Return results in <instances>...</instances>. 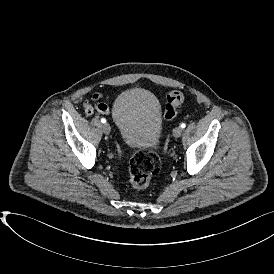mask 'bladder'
I'll use <instances>...</instances> for the list:
<instances>
[{
    "label": "bladder",
    "instance_id": "1",
    "mask_svg": "<svg viewBox=\"0 0 274 274\" xmlns=\"http://www.w3.org/2000/svg\"><path fill=\"white\" fill-rule=\"evenodd\" d=\"M112 118L126 146L148 150L159 143L161 107L150 91L143 88L123 91L113 104Z\"/></svg>",
    "mask_w": 274,
    "mask_h": 274
}]
</instances>
